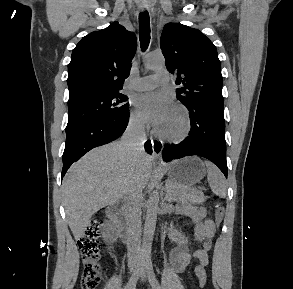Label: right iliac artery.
Masks as SVG:
<instances>
[{
  "mask_svg": "<svg viewBox=\"0 0 293 289\" xmlns=\"http://www.w3.org/2000/svg\"><path fill=\"white\" fill-rule=\"evenodd\" d=\"M143 264H144V260L141 259L136 267L133 278L128 281V283L124 289H132L135 286V283H136L138 276L141 272V267Z\"/></svg>",
  "mask_w": 293,
  "mask_h": 289,
  "instance_id": "obj_1",
  "label": "right iliac artery"
}]
</instances>
